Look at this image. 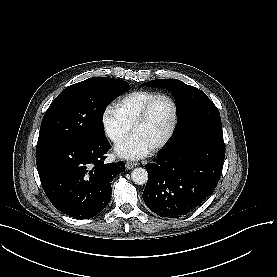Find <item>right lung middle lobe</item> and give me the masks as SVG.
Returning a JSON list of instances; mask_svg holds the SVG:
<instances>
[{"mask_svg":"<svg viewBox=\"0 0 277 277\" xmlns=\"http://www.w3.org/2000/svg\"><path fill=\"white\" fill-rule=\"evenodd\" d=\"M127 90L126 81L106 77L89 78L68 86L47 109L37 145L105 137L103 112Z\"/></svg>","mask_w":277,"mask_h":277,"instance_id":"right-lung-middle-lobe-1","label":"right lung middle lobe"}]
</instances>
